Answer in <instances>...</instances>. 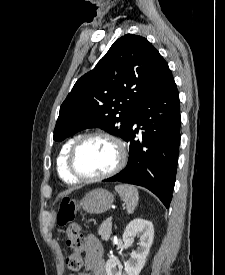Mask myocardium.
Listing matches in <instances>:
<instances>
[{
	"mask_svg": "<svg viewBox=\"0 0 225 275\" xmlns=\"http://www.w3.org/2000/svg\"><path fill=\"white\" fill-rule=\"evenodd\" d=\"M94 138H101L112 142L117 149V161L115 166L106 173L92 176L82 175L77 171L75 167V157L82 144L87 140ZM126 161L127 150L124 142L120 138L106 132H91L78 137L72 144L67 156V169L74 179L93 182L104 180L116 175L118 172L122 170Z\"/></svg>",
	"mask_w": 225,
	"mask_h": 275,
	"instance_id": "obj_1",
	"label": "myocardium"
}]
</instances>
